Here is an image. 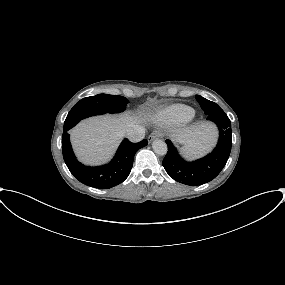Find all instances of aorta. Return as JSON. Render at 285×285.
<instances>
[{
	"mask_svg": "<svg viewBox=\"0 0 285 285\" xmlns=\"http://www.w3.org/2000/svg\"><path fill=\"white\" fill-rule=\"evenodd\" d=\"M152 148L154 152L158 155H165L168 151L167 144L160 139L153 141Z\"/></svg>",
	"mask_w": 285,
	"mask_h": 285,
	"instance_id": "aorta-1",
	"label": "aorta"
}]
</instances>
